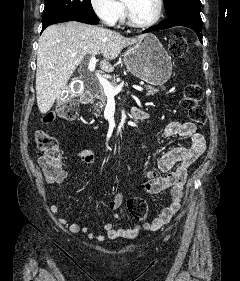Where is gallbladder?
<instances>
[{
	"label": "gallbladder",
	"mask_w": 240,
	"mask_h": 281,
	"mask_svg": "<svg viewBox=\"0 0 240 281\" xmlns=\"http://www.w3.org/2000/svg\"><path fill=\"white\" fill-rule=\"evenodd\" d=\"M68 92L70 93V90H68ZM70 96V94L69 95H67L66 97H69Z\"/></svg>",
	"instance_id": "bac80fb5"
}]
</instances>
